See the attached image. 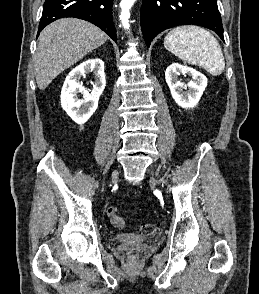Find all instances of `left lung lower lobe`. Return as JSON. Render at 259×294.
<instances>
[{"label":"left lung lower lobe","instance_id":"0a47b994","mask_svg":"<svg viewBox=\"0 0 259 294\" xmlns=\"http://www.w3.org/2000/svg\"><path fill=\"white\" fill-rule=\"evenodd\" d=\"M140 21L148 47L160 32L186 24L213 30L224 41L217 0H143Z\"/></svg>","mask_w":259,"mask_h":294}]
</instances>
